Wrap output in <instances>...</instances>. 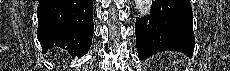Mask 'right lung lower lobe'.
<instances>
[{
  "instance_id": "1",
  "label": "right lung lower lobe",
  "mask_w": 230,
  "mask_h": 71,
  "mask_svg": "<svg viewBox=\"0 0 230 71\" xmlns=\"http://www.w3.org/2000/svg\"><path fill=\"white\" fill-rule=\"evenodd\" d=\"M93 0H40L37 38L45 53L53 46L72 57L84 56L94 33Z\"/></svg>"
}]
</instances>
